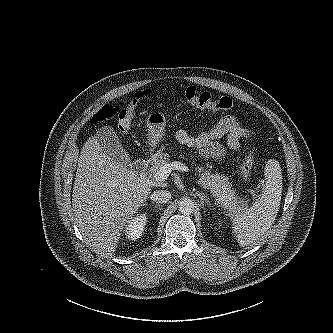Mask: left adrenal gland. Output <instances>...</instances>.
<instances>
[{
  "label": "left adrenal gland",
  "mask_w": 333,
  "mask_h": 333,
  "mask_svg": "<svg viewBox=\"0 0 333 333\" xmlns=\"http://www.w3.org/2000/svg\"><path fill=\"white\" fill-rule=\"evenodd\" d=\"M196 195L200 198L201 203H202V205L204 207V203L205 202L208 203V199L209 198L207 197V195L205 193L199 192V191H196Z\"/></svg>",
  "instance_id": "1"
}]
</instances>
